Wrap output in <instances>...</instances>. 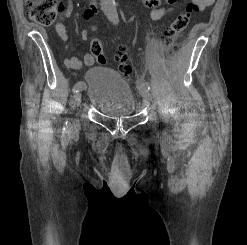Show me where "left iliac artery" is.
I'll list each match as a JSON object with an SVG mask.
<instances>
[{
    "mask_svg": "<svg viewBox=\"0 0 247 245\" xmlns=\"http://www.w3.org/2000/svg\"><path fill=\"white\" fill-rule=\"evenodd\" d=\"M140 85L145 86L147 88V90L150 89L149 84L147 82H145V81L140 82Z\"/></svg>",
    "mask_w": 247,
    "mask_h": 245,
    "instance_id": "44dca946",
    "label": "left iliac artery"
}]
</instances>
